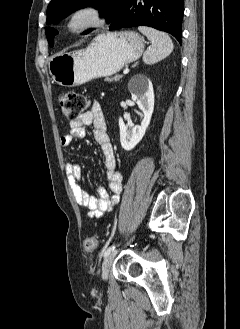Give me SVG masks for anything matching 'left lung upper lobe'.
Wrapping results in <instances>:
<instances>
[{
  "label": "left lung upper lobe",
  "mask_w": 240,
  "mask_h": 329,
  "mask_svg": "<svg viewBox=\"0 0 240 329\" xmlns=\"http://www.w3.org/2000/svg\"><path fill=\"white\" fill-rule=\"evenodd\" d=\"M126 0H51L47 7V24L57 23L64 19L68 14L91 3H98L101 6H95L99 13L112 22L124 6ZM46 36L49 45H54V36L58 33L53 28H46ZM89 31L84 32L87 34Z\"/></svg>",
  "instance_id": "1"
}]
</instances>
